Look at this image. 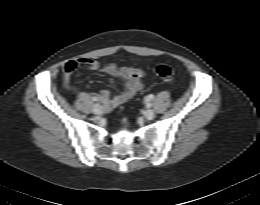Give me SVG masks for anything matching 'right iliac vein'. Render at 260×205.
I'll list each match as a JSON object with an SVG mask.
<instances>
[{
    "mask_svg": "<svg viewBox=\"0 0 260 205\" xmlns=\"http://www.w3.org/2000/svg\"><path fill=\"white\" fill-rule=\"evenodd\" d=\"M94 114H101L103 112V108L100 104L96 103L93 105Z\"/></svg>",
    "mask_w": 260,
    "mask_h": 205,
    "instance_id": "63e3f726",
    "label": "right iliac vein"
}]
</instances>
